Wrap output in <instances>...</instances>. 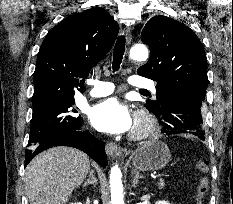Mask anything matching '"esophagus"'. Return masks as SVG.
<instances>
[{
	"label": "esophagus",
	"instance_id": "34e87169",
	"mask_svg": "<svg viewBox=\"0 0 233 204\" xmlns=\"http://www.w3.org/2000/svg\"><path fill=\"white\" fill-rule=\"evenodd\" d=\"M123 34L126 36L127 43L130 44L132 40V29L130 27L124 28ZM105 150L110 156H120L122 154V149L113 142H108L105 146Z\"/></svg>",
	"mask_w": 233,
	"mask_h": 204
}]
</instances>
